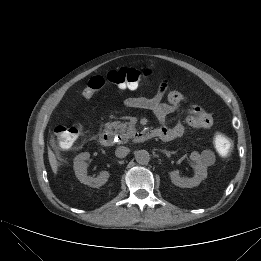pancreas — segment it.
<instances>
[{"label":"pancreas","instance_id":"1","mask_svg":"<svg viewBox=\"0 0 261 261\" xmlns=\"http://www.w3.org/2000/svg\"><path fill=\"white\" fill-rule=\"evenodd\" d=\"M109 126L115 129V133L120 136L121 143H127L135 132L134 125L129 122L120 123L118 121H115L110 123Z\"/></svg>","mask_w":261,"mask_h":261}]
</instances>
